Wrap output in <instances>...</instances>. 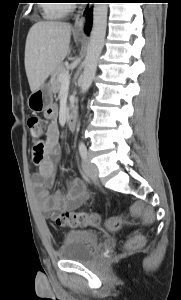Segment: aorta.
Masks as SVG:
<instances>
[{"label": "aorta", "mask_w": 181, "mask_h": 300, "mask_svg": "<svg viewBox=\"0 0 181 300\" xmlns=\"http://www.w3.org/2000/svg\"><path fill=\"white\" fill-rule=\"evenodd\" d=\"M107 12V3L94 4L93 26L80 84V90L82 94H85L92 84L97 69L98 59L104 47L107 27Z\"/></svg>", "instance_id": "obj_1"}]
</instances>
